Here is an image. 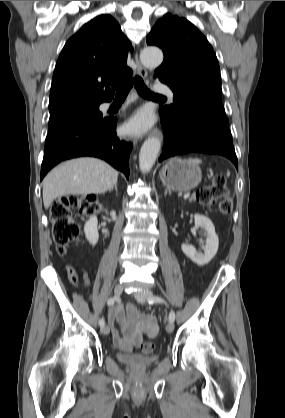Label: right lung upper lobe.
Here are the masks:
<instances>
[{"instance_id": "1", "label": "right lung upper lobe", "mask_w": 285, "mask_h": 418, "mask_svg": "<svg viewBox=\"0 0 285 418\" xmlns=\"http://www.w3.org/2000/svg\"><path fill=\"white\" fill-rule=\"evenodd\" d=\"M129 50H133L131 44L112 16L100 15L83 25L66 42L58 58L49 107L110 101L114 89L109 85L132 74L126 65Z\"/></svg>"}]
</instances>
